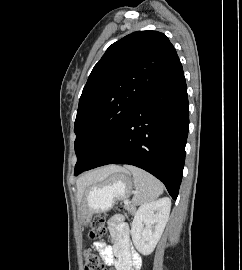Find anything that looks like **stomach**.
<instances>
[{"mask_svg": "<svg viewBox=\"0 0 242 270\" xmlns=\"http://www.w3.org/2000/svg\"><path fill=\"white\" fill-rule=\"evenodd\" d=\"M131 189L130 174L123 168L103 181L87 187L79 215L82 226H87L93 214L105 212L113 206L115 201L125 199Z\"/></svg>", "mask_w": 242, "mask_h": 270, "instance_id": "1", "label": "stomach"}]
</instances>
